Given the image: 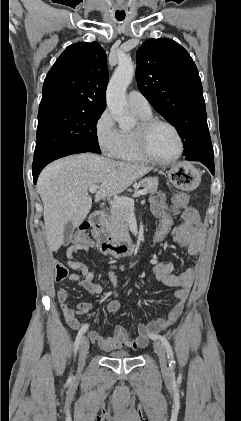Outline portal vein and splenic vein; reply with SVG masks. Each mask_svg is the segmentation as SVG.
Returning a JSON list of instances; mask_svg holds the SVG:
<instances>
[{"instance_id":"obj_1","label":"portal vein and splenic vein","mask_w":241,"mask_h":421,"mask_svg":"<svg viewBox=\"0 0 241 421\" xmlns=\"http://www.w3.org/2000/svg\"><path fill=\"white\" fill-rule=\"evenodd\" d=\"M98 189V185H92L89 187V191L90 193H95ZM147 192L145 190H140L138 192H136L133 197H139V196H143L146 195ZM109 204L111 205V207H128V208H133L134 207V200L133 198H129V197H118L114 200H111L109 202Z\"/></svg>"}]
</instances>
